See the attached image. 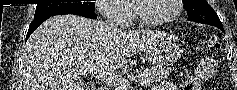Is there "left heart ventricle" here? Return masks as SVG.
Returning a JSON list of instances; mask_svg holds the SVG:
<instances>
[{
	"label": "left heart ventricle",
	"instance_id": "left-heart-ventricle-1",
	"mask_svg": "<svg viewBox=\"0 0 237 90\" xmlns=\"http://www.w3.org/2000/svg\"><path fill=\"white\" fill-rule=\"evenodd\" d=\"M171 0L136 1L139 14L147 20H155L170 13Z\"/></svg>",
	"mask_w": 237,
	"mask_h": 90
}]
</instances>
